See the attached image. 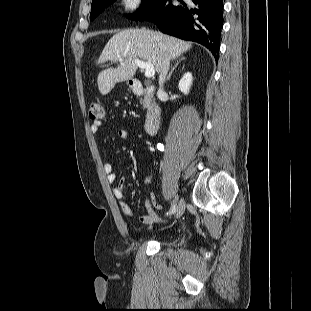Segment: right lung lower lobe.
I'll return each instance as SVG.
<instances>
[{
    "mask_svg": "<svg viewBox=\"0 0 311 311\" xmlns=\"http://www.w3.org/2000/svg\"><path fill=\"white\" fill-rule=\"evenodd\" d=\"M160 0L147 14L137 20L154 22L163 33L190 40L208 48L219 58V43L223 25L222 0Z\"/></svg>",
    "mask_w": 311,
    "mask_h": 311,
    "instance_id": "right-lung-lower-lobe-1",
    "label": "right lung lower lobe"
}]
</instances>
